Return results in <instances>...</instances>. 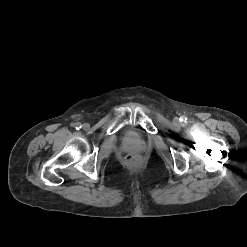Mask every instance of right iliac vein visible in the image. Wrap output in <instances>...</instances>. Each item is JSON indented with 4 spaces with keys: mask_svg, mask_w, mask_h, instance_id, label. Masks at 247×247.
<instances>
[{
    "mask_svg": "<svg viewBox=\"0 0 247 247\" xmlns=\"http://www.w3.org/2000/svg\"><path fill=\"white\" fill-rule=\"evenodd\" d=\"M83 128H84V129H88V128H89V124H88V123H84V124H83Z\"/></svg>",
    "mask_w": 247,
    "mask_h": 247,
    "instance_id": "63e3f726",
    "label": "right iliac vein"
}]
</instances>
